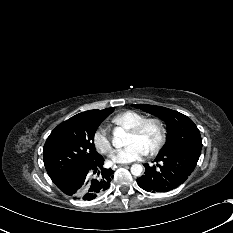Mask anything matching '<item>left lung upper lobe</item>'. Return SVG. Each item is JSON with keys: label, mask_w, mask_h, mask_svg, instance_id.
I'll list each match as a JSON object with an SVG mask.
<instances>
[{"label": "left lung upper lobe", "mask_w": 233, "mask_h": 233, "mask_svg": "<svg viewBox=\"0 0 233 233\" xmlns=\"http://www.w3.org/2000/svg\"><path fill=\"white\" fill-rule=\"evenodd\" d=\"M132 106L153 114L166 123L168 127L167 142L160 152H180L196 157L200 156L202 149L200 132L186 115L156 105L136 104Z\"/></svg>", "instance_id": "1"}]
</instances>
